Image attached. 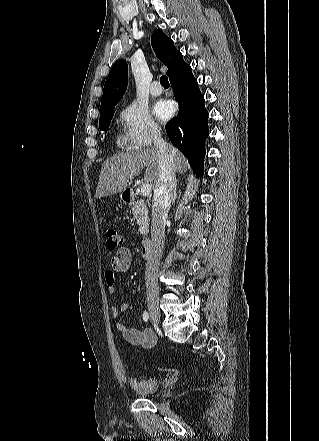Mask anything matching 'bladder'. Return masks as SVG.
I'll return each instance as SVG.
<instances>
[{"mask_svg": "<svg viewBox=\"0 0 319 441\" xmlns=\"http://www.w3.org/2000/svg\"><path fill=\"white\" fill-rule=\"evenodd\" d=\"M130 385L136 395L150 397L157 393L160 383L156 377H150L146 379H131Z\"/></svg>", "mask_w": 319, "mask_h": 441, "instance_id": "31cf9c89", "label": "bladder"}]
</instances>
